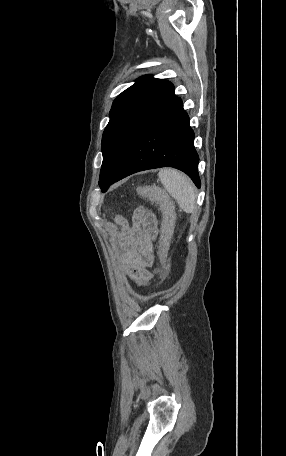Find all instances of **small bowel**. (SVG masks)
<instances>
[{
    "label": "small bowel",
    "mask_w": 286,
    "mask_h": 456,
    "mask_svg": "<svg viewBox=\"0 0 286 456\" xmlns=\"http://www.w3.org/2000/svg\"><path fill=\"white\" fill-rule=\"evenodd\" d=\"M132 225L124 219L115 242L116 260L123 275L137 285H144L153 278L149 270L154 263L153 242L157 236V218L142 208L135 210Z\"/></svg>",
    "instance_id": "1"
}]
</instances>
